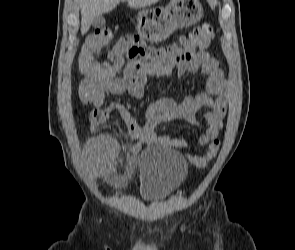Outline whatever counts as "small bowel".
I'll return each instance as SVG.
<instances>
[{
  "label": "small bowel",
  "mask_w": 295,
  "mask_h": 250,
  "mask_svg": "<svg viewBox=\"0 0 295 250\" xmlns=\"http://www.w3.org/2000/svg\"><path fill=\"white\" fill-rule=\"evenodd\" d=\"M108 59L110 64L96 61L93 72L83 73L78 87L83 103L100 108L107 93L117 95L129 92L139 99L144 95L149 77H169L173 69H177L180 76L198 70L208 76L202 92L181 100L163 98L149 103L148 121L144 127L136 123L123 105L112 103L106 108L110 112H118L135 137L136 142L129 148L132 155L139 153L143 146L187 147L184 139L158 135L155 128L173 120H184L192 126H199L195 115L200 109L209 111L204 115L207 127L197 137V146L204 147L217 139L228 109V92L219 63L209 53L198 50L196 45L187 43L184 38L166 47L154 48L147 47L139 36L129 35L115 44ZM117 150L116 141L109 135H101L87 142L84 157L92 176L106 178L115 186L124 182L123 177L114 173Z\"/></svg>",
  "instance_id": "obj_1"
}]
</instances>
